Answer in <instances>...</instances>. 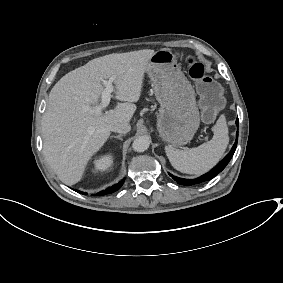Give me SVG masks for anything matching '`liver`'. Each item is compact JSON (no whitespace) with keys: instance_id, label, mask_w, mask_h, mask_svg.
Listing matches in <instances>:
<instances>
[{"instance_id":"6515ba94","label":"liver","mask_w":283,"mask_h":283,"mask_svg":"<svg viewBox=\"0 0 283 283\" xmlns=\"http://www.w3.org/2000/svg\"><path fill=\"white\" fill-rule=\"evenodd\" d=\"M154 50L116 53L89 61L63 76L51 89L42 120L43 150L49 166L67 185L80 182L92 157L117 124L130 123L143 93ZM114 77L117 103L104 110L103 81Z\"/></svg>"}]
</instances>
